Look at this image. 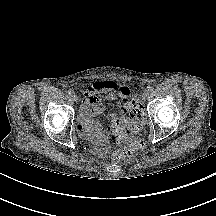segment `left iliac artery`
Listing matches in <instances>:
<instances>
[{"label":"left iliac artery","mask_w":216,"mask_h":216,"mask_svg":"<svg viewBox=\"0 0 216 216\" xmlns=\"http://www.w3.org/2000/svg\"><path fill=\"white\" fill-rule=\"evenodd\" d=\"M147 91L148 92H152L153 91V87H147Z\"/></svg>","instance_id":"obj_1"}]
</instances>
